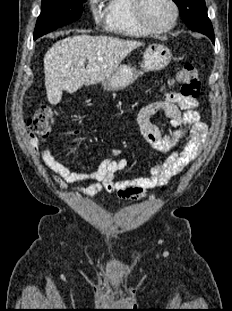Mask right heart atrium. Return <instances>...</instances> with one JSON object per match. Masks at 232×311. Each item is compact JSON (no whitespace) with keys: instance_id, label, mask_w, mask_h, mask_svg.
I'll return each instance as SVG.
<instances>
[{"instance_id":"1","label":"right heart atrium","mask_w":232,"mask_h":311,"mask_svg":"<svg viewBox=\"0 0 232 311\" xmlns=\"http://www.w3.org/2000/svg\"><path fill=\"white\" fill-rule=\"evenodd\" d=\"M98 2V0H89V4L93 10V15L95 20L99 21L101 19V13L95 8L96 3Z\"/></svg>"}]
</instances>
